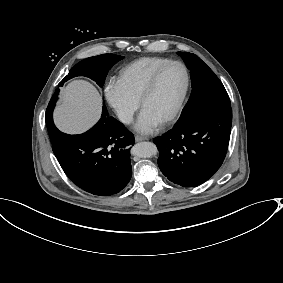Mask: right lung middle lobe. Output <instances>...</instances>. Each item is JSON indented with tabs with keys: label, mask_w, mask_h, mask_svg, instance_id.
I'll return each mask as SVG.
<instances>
[{
	"label": "right lung middle lobe",
	"mask_w": 283,
	"mask_h": 283,
	"mask_svg": "<svg viewBox=\"0 0 283 283\" xmlns=\"http://www.w3.org/2000/svg\"><path fill=\"white\" fill-rule=\"evenodd\" d=\"M123 58L114 54H102L84 59L71 68L69 74L61 83L63 84L65 81L76 76H86L94 80L100 87H103L108 71L115 63Z\"/></svg>",
	"instance_id": "dd1d6c3e"
}]
</instances>
